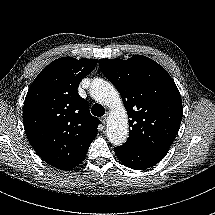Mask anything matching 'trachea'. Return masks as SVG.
Segmentation results:
<instances>
[{"instance_id":"1","label":"trachea","mask_w":215,"mask_h":215,"mask_svg":"<svg viewBox=\"0 0 215 215\" xmlns=\"http://www.w3.org/2000/svg\"><path fill=\"white\" fill-rule=\"evenodd\" d=\"M91 112L94 116L101 117L104 115L105 109L102 105L96 103L92 106Z\"/></svg>"}]
</instances>
